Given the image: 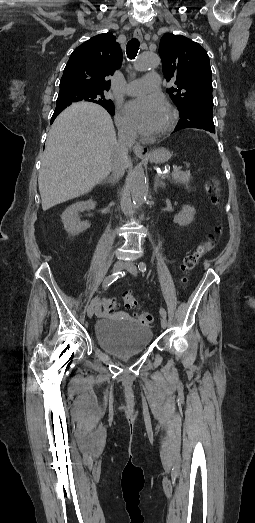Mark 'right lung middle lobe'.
Masks as SVG:
<instances>
[{"instance_id": "1", "label": "right lung middle lobe", "mask_w": 255, "mask_h": 523, "mask_svg": "<svg viewBox=\"0 0 255 523\" xmlns=\"http://www.w3.org/2000/svg\"><path fill=\"white\" fill-rule=\"evenodd\" d=\"M81 100H86L90 102H99L104 101L105 95L103 92H95V91H86V90H80V89H65L60 90V93L57 98V103L60 102H77Z\"/></svg>"}]
</instances>
